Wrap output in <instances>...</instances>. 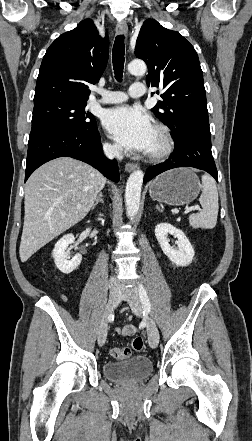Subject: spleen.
<instances>
[{"label": "spleen", "instance_id": "1", "mask_svg": "<svg viewBox=\"0 0 252 441\" xmlns=\"http://www.w3.org/2000/svg\"><path fill=\"white\" fill-rule=\"evenodd\" d=\"M202 211L189 216L193 228L212 229L217 223L218 191L214 179L204 174L202 176V193L199 198Z\"/></svg>", "mask_w": 252, "mask_h": 441}]
</instances>
